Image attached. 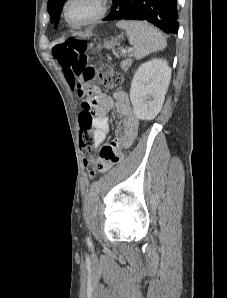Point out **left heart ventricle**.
I'll list each match as a JSON object with an SVG mask.
<instances>
[{
    "instance_id": "obj_1",
    "label": "left heart ventricle",
    "mask_w": 227,
    "mask_h": 298,
    "mask_svg": "<svg viewBox=\"0 0 227 298\" xmlns=\"http://www.w3.org/2000/svg\"><path fill=\"white\" fill-rule=\"evenodd\" d=\"M98 11L97 0H72L69 5V17L74 23H81Z\"/></svg>"
}]
</instances>
